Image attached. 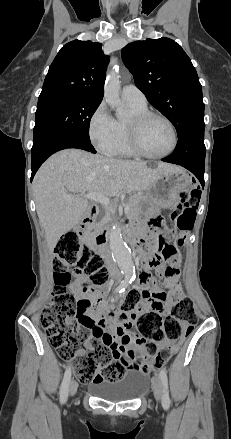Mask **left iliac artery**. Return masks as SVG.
<instances>
[{"label":"left iliac artery","instance_id":"obj_1","mask_svg":"<svg viewBox=\"0 0 231 439\" xmlns=\"http://www.w3.org/2000/svg\"><path fill=\"white\" fill-rule=\"evenodd\" d=\"M159 375L163 385L162 405L164 408H168L170 406V397L168 391V379L165 370L162 369Z\"/></svg>","mask_w":231,"mask_h":439}]
</instances>
